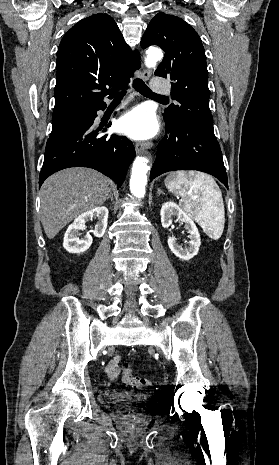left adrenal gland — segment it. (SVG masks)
<instances>
[{"mask_svg":"<svg viewBox=\"0 0 279 465\" xmlns=\"http://www.w3.org/2000/svg\"><path fill=\"white\" fill-rule=\"evenodd\" d=\"M157 193H158V196H160V194H164L161 189H157Z\"/></svg>","mask_w":279,"mask_h":465,"instance_id":"a2214340","label":"left adrenal gland"}]
</instances>
